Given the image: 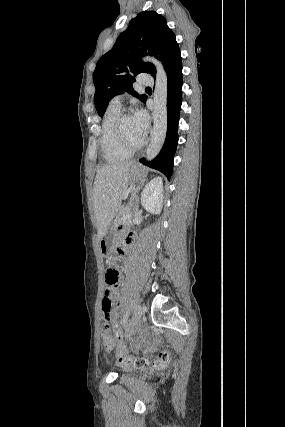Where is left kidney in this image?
<instances>
[{"mask_svg": "<svg viewBox=\"0 0 285 427\" xmlns=\"http://www.w3.org/2000/svg\"><path fill=\"white\" fill-rule=\"evenodd\" d=\"M163 203V182L161 177L152 179L143 189L141 204L153 214H159Z\"/></svg>", "mask_w": 285, "mask_h": 427, "instance_id": "5707ae66", "label": "left kidney"}]
</instances>
